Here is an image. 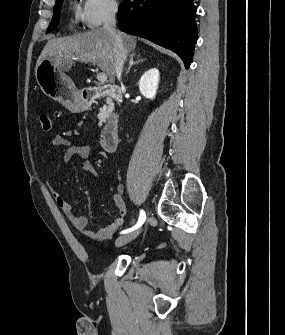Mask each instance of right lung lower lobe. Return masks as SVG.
Listing matches in <instances>:
<instances>
[{"label":"right lung lower lobe","instance_id":"1","mask_svg":"<svg viewBox=\"0 0 285 335\" xmlns=\"http://www.w3.org/2000/svg\"><path fill=\"white\" fill-rule=\"evenodd\" d=\"M193 0H135L119 6L118 23L126 33L148 39L177 53L188 68L197 27Z\"/></svg>","mask_w":285,"mask_h":335}]
</instances>
